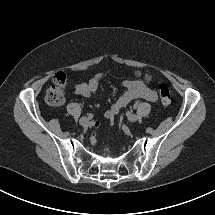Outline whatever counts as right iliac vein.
Returning <instances> with one entry per match:
<instances>
[{"mask_svg": "<svg viewBox=\"0 0 215 215\" xmlns=\"http://www.w3.org/2000/svg\"><path fill=\"white\" fill-rule=\"evenodd\" d=\"M79 124L82 126H87L89 124V118L87 117H81L79 120Z\"/></svg>", "mask_w": 215, "mask_h": 215, "instance_id": "63e3f726", "label": "right iliac vein"}]
</instances>
